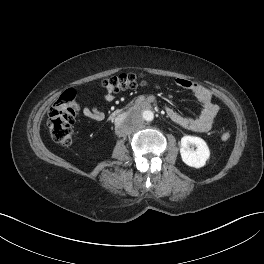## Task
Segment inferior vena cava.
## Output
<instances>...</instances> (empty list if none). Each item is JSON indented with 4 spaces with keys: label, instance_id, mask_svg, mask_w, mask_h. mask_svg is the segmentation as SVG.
<instances>
[{
    "label": "inferior vena cava",
    "instance_id": "602c4592",
    "mask_svg": "<svg viewBox=\"0 0 264 264\" xmlns=\"http://www.w3.org/2000/svg\"><path fill=\"white\" fill-rule=\"evenodd\" d=\"M124 121V118L122 116H116L114 119H113V124L116 126L118 124H122Z\"/></svg>",
    "mask_w": 264,
    "mask_h": 264
}]
</instances>
